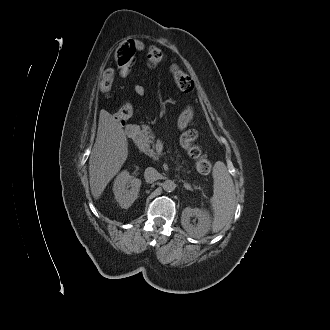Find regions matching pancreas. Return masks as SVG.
<instances>
[{
	"label": "pancreas",
	"instance_id": "pancreas-1",
	"mask_svg": "<svg viewBox=\"0 0 330 330\" xmlns=\"http://www.w3.org/2000/svg\"><path fill=\"white\" fill-rule=\"evenodd\" d=\"M154 134L151 132V130L145 131L144 134L140 137V146L142 151L152 157L154 160L158 158V154L154 151L155 143H154ZM152 146V148H151ZM181 167V166H180ZM179 167V168H180ZM195 188L201 189L200 187L194 185Z\"/></svg>",
	"mask_w": 330,
	"mask_h": 330
}]
</instances>
